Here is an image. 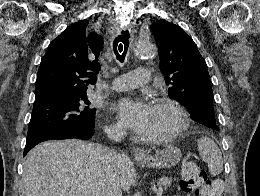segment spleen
<instances>
[{"label":"spleen","instance_id":"3e777b00","mask_svg":"<svg viewBox=\"0 0 260 196\" xmlns=\"http://www.w3.org/2000/svg\"><path fill=\"white\" fill-rule=\"evenodd\" d=\"M198 152L203 160L207 162L208 170L212 176H219L223 170L222 154L215 142L207 136L197 140Z\"/></svg>","mask_w":260,"mask_h":196}]
</instances>
